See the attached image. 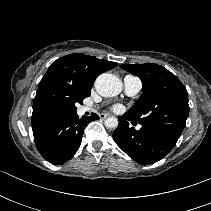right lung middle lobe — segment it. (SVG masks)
Instances as JSON below:
<instances>
[{"instance_id": "dd1d6c3e", "label": "right lung middle lobe", "mask_w": 211, "mask_h": 211, "mask_svg": "<svg viewBox=\"0 0 211 211\" xmlns=\"http://www.w3.org/2000/svg\"><path fill=\"white\" fill-rule=\"evenodd\" d=\"M90 96V93L81 94L77 92H69L63 96H60L55 100V106L60 117L68 114L76 113V104H82L84 98Z\"/></svg>"}]
</instances>
